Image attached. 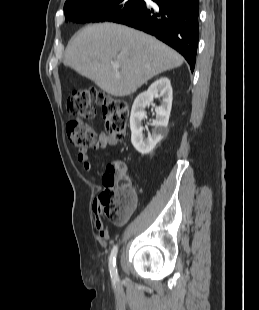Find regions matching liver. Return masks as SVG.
Listing matches in <instances>:
<instances>
[{
    "label": "liver",
    "instance_id": "1",
    "mask_svg": "<svg viewBox=\"0 0 259 310\" xmlns=\"http://www.w3.org/2000/svg\"><path fill=\"white\" fill-rule=\"evenodd\" d=\"M113 62L119 68L112 66ZM64 65L93 81L101 90L124 97L154 76L179 67L182 56L150 35L114 23L82 28L69 41Z\"/></svg>",
    "mask_w": 259,
    "mask_h": 310
}]
</instances>
